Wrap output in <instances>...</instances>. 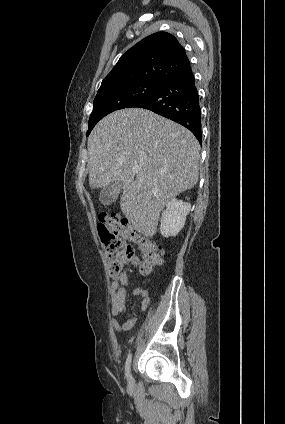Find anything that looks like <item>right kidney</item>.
I'll return each mask as SVG.
<instances>
[{
	"instance_id": "1",
	"label": "right kidney",
	"mask_w": 285,
	"mask_h": 424,
	"mask_svg": "<svg viewBox=\"0 0 285 424\" xmlns=\"http://www.w3.org/2000/svg\"><path fill=\"white\" fill-rule=\"evenodd\" d=\"M191 204L178 199L167 202L162 212L160 232L163 237H175L184 227Z\"/></svg>"
}]
</instances>
